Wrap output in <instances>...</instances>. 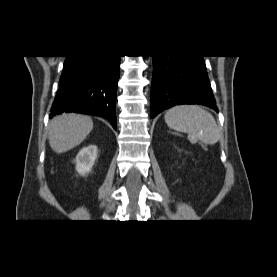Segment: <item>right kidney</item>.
Returning a JSON list of instances; mask_svg holds the SVG:
<instances>
[{"label": "right kidney", "instance_id": "1", "mask_svg": "<svg viewBox=\"0 0 277 277\" xmlns=\"http://www.w3.org/2000/svg\"><path fill=\"white\" fill-rule=\"evenodd\" d=\"M97 158V146L89 145L82 148L76 156V171L81 175L89 173Z\"/></svg>", "mask_w": 277, "mask_h": 277}]
</instances>
